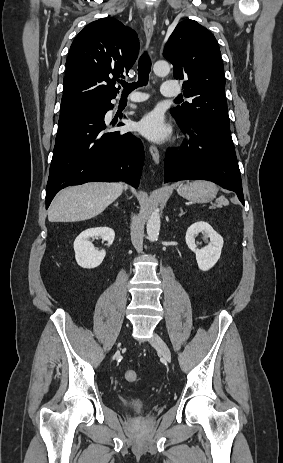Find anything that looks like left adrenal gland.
I'll list each match as a JSON object with an SVG mask.
<instances>
[{"mask_svg":"<svg viewBox=\"0 0 283 463\" xmlns=\"http://www.w3.org/2000/svg\"><path fill=\"white\" fill-rule=\"evenodd\" d=\"M184 214H185V212L183 211V209H182V208H180L179 217H181V216H182V215H184Z\"/></svg>","mask_w":283,"mask_h":463,"instance_id":"a2214340","label":"left adrenal gland"}]
</instances>
